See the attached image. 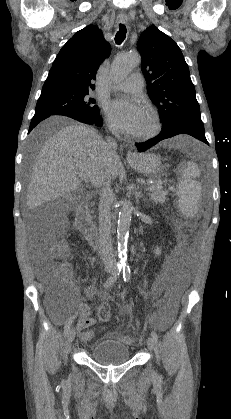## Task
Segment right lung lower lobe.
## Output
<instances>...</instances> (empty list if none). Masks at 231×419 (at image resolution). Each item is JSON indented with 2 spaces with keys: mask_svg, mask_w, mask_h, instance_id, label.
I'll list each match as a JSON object with an SVG mask.
<instances>
[{
  "mask_svg": "<svg viewBox=\"0 0 231 419\" xmlns=\"http://www.w3.org/2000/svg\"><path fill=\"white\" fill-rule=\"evenodd\" d=\"M51 115L50 114H47V113H36L35 115H34V117L32 118V121H31V124H30V128H29V132L40 122V121H42V120H44V119H46V118H48V117H50ZM78 121H80V122H84V123H87V124H94V125H97V126H101L102 125V119H101V117L100 116H97V117H95V118H93V119H89V120H78ZM28 132V133H29Z\"/></svg>",
  "mask_w": 231,
  "mask_h": 419,
  "instance_id": "1",
  "label": "right lung lower lobe"
}]
</instances>
